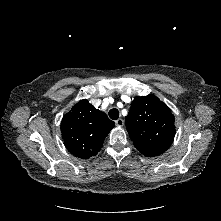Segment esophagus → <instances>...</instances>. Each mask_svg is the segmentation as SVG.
<instances>
[{"label": "esophagus", "mask_w": 221, "mask_h": 221, "mask_svg": "<svg viewBox=\"0 0 221 221\" xmlns=\"http://www.w3.org/2000/svg\"><path fill=\"white\" fill-rule=\"evenodd\" d=\"M116 126L122 127L124 125V120L122 118H119L115 121Z\"/></svg>", "instance_id": "34e87169"}]
</instances>
